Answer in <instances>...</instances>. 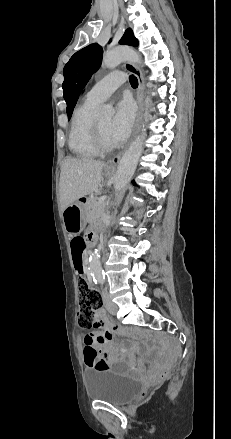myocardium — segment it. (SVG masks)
Here are the masks:
<instances>
[{
    "instance_id": "obj_1",
    "label": "myocardium",
    "mask_w": 231,
    "mask_h": 439,
    "mask_svg": "<svg viewBox=\"0 0 231 439\" xmlns=\"http://www.w3.org/2000/svg\"><path fill=\"white\" fill-rule=\"evenodd\" d=\"M92 135H93L94 145L98 150V152L108 153L117 148L116 145H109L108 143L105 142L97 119H94L93 121Z\"/></svg>"
}]
</instances>
